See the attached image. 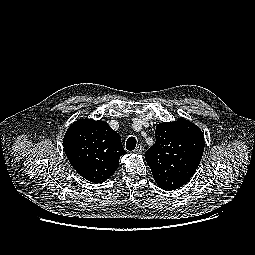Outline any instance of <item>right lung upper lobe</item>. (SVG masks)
I'll list each match as a JSON object with an SVG mask.
<instances>
[{
    "instance_id": "cb5924a9",
    "label": "right lung upper lobe",
    "mask_w": 255,
    "mask_h": 255,
    "mask_svg": "<svg viewBox=\"0 0 255 255\" xmlns=\"http://www.w3.org/2000/svg\"><path fill=\"white\" fill-rule=\"evenodd\" d=\"M64 151L73 168L93 183L106 181L126 154L120 135L101 120L80 119L67 130Z\"/></svg>"
}]
</instances>
